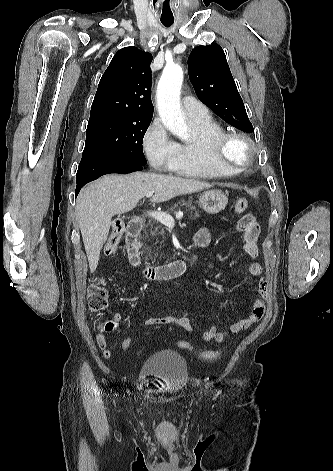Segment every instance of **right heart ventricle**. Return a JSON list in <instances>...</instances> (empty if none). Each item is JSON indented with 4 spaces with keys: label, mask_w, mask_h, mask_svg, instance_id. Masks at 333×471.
<instances>
[{
    "label": "right heart ventricle",
    "mask_w": 333,
    "mask_h": 471,
    "mask_svg": "<svg viewBox=\"0 0 333 471\" xmlns=\"http://www.w3.org/2000/svg\"><path fill=\"white\" fill-rule=\"evenodd\" d=\"M193 129L192 139L177 143L176 155L170 171L177 175L212 179L236 174L237 171L222 167L213 157V145L224 133L223 126L211 115L189 119Z\"/></svg>",
    "instance_id": "e07e8e85"
}]
</instances>
